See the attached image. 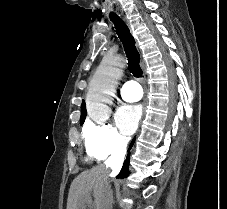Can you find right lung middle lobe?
I'll use <instances>...</instances> for the list:
<instances>
[{"instance_id":"1","label":"right lung middle lobe","mask_w":227,"mask_h":209,"mask_svg":"<svg viewBox=\"0 0 227 209\" xmlns=\"http://www.w3.org/2000/svg\"><path fill=\"white\" fill-rule=\"evenodd\" d=\"M84 120H85V119H81V120H80V125H82V124L84 123Z\"/></svg>"}]
</instances>
